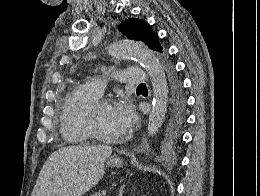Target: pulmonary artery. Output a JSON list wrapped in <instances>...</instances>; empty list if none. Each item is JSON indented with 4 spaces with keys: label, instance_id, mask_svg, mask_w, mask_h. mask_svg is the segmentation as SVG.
Segmentation results:
<instances>
[{
    "label": "pulmonary artery",
    "instance_id": "1",
    "mask_svg": "<svg viewBox=\"0 0 260 196\" xmlns=\"http://www.w3.org/2000/svg\"><path fill=\"white\" fill-rule=\"evenodd\" d=\"M106 74H113L116 77L117 84H149V79L146 76V73L143 72L142 69H119V72H114L113 69H106ZM112 81V76H96V79L93 80L94 90L100 96L103 94L105 85H103L104 81Z\"/></svg>",
    "mask_w": 260,
    "mask_h": 196
}]
</instances>
